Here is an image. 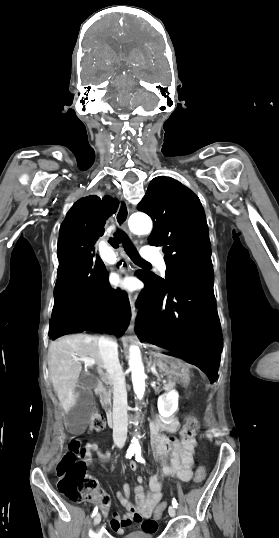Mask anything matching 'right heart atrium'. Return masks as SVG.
Masks as SVG:
<instances>
[{"label":"right heart atrium","mask_w":279,"mask_h":538,"mask_svg":"<svg viewBox=\"0 0 279 538\" xmlns=\"http://www.w3.org/2000/svg\"><path fill=\"white\" fill-rule=\"evenodd\" d=\"M137 234L141 236V235H144L145 232H137Z\"/></svg>","instance_id":"right-heart-atrium-1"}]
</instances>
